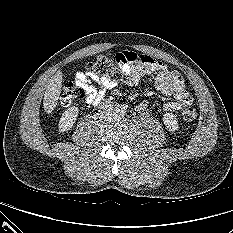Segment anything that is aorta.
<instances>
[{"mask_svg": "<svg viewBox=\"0 0 233 233\" xmlns=\"http://www.w3.org/2000/svg\"><path fill=\"white\" fill-rule=\"evenodd\" d=\"M116 113L118 115H124L126 113V108L123 105H120L116 108Z\"/></svg>", "mask_w": 233, "mask_h": 233, "instance_id": "762f6f07", "label": "aorta"}]
</instances>
